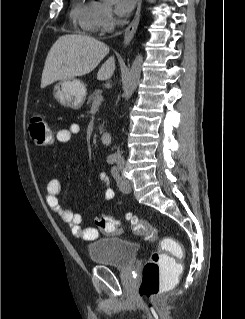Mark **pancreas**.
Returning a JSON list of instances; mask_svg holds the SVG:
<instances>
[{
    "mask_svg": "<svg viewBox=\"0 0 245 319\" xmlns=\"http://www.w3.org/2000/svg\"><path fill=\"white\" fill-rule=\"evenodd\" d=\"M101 93H102V91H101L100 89H96L92 94L89 95L87 104L92 103V101H93L97 96H99ZM103 127H104V125H101V126L99 127V130H100L101 132L103 131Z\"/></svg>",
    "mask_w": 245,
    "mask_h": 319,
    "instance_id": "1",
    "label": "pancreas"
}]
</instances>
